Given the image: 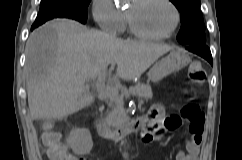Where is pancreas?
Wrapping results in <instances>:
<instances>
[{
  "label": "pancreas",
  "mask_w": 242,
  "mask_h": 160,
  "mask_svg": "<svg viewBox=\"0 0 242 160\" xmlns=\"http://www.w3.org/2000/svg\"><path fill=\"white\" fill-rule=\"evenodd\" d=\"M129 94L140 97L148 101L152 98V90L149 84H137L136 86L129 89ZM123 95L119 96L118 99H112L109 107L110 112L106 117V123L112 127H119L128 121V117L124 110ZM142 102V101H141Z\"/></svg>",
  "instance_id": "obj_1"
}]
</instances>
